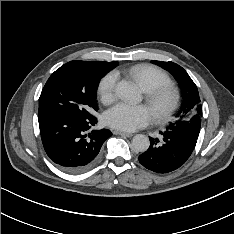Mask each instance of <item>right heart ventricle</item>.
Listing matches in <instances>:
<instances>
[{"instance_id": "right-heart-ventricle-1", "label": "right heart ventricle", "mask_w": 234, "mask_h": 234, "mask_svg": "<svg viewBox=\"0 0 234 234\" xmlns=\"http://www.w3.org/2000/svg\"><path fill=\"white\" fill-rule=\"evenodd\" d=\"M128 73L145 92L156 86L172 83L163 70L149 64L135 65L129 69Z\"/></svg>"}]
</instances>
